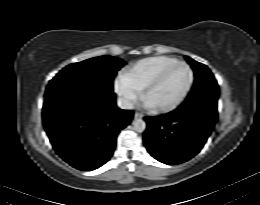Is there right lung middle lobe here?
<instances>
[{
    "instance_id": "right-lung-middle-lobe-1",
    "label": "right lung middle lobe",
    "mask_w": 260,
    "mask_h": 205,
    "mask_svg": "<svg viewBox=\"0 0 260 205\" xmlns=\"http://www.w3.org/2000/svg\"><path fill=\"white\" fill-rule=\"evenodd\" d=\"M124 64L121 59L109 55L95 57L66 66L51 81H87L113 89L114 76Z\"/></svg>"
}]
</instances>
